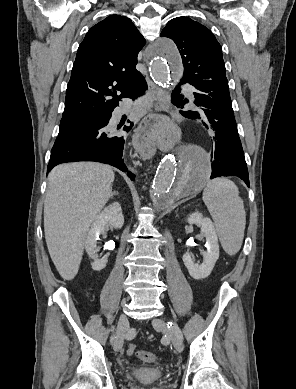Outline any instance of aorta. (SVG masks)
Segmentation results:
<instances>
[{
  "instance_id": "obj_1",
  "label": "aorta",
  "mask_w": 296,
  "mask_h": 389,
  "mask_svg": "<svg viewBox=\"0 0 296 389\" xmlns=\"http://www.w3.org/2000/svg\"><path fill=\"white\" fill-rule=\"evenodd\" d=\"M154 51L150 65L152 78L163 87H168L169 80H182L184 70L175 44L168 39H158ZM179 160L177 163L169 155L158 166L151 189L156 210H163L179 197L194 194L211 174L209 154L202 149H180Z\"/></svg>"
}]
</instances>
